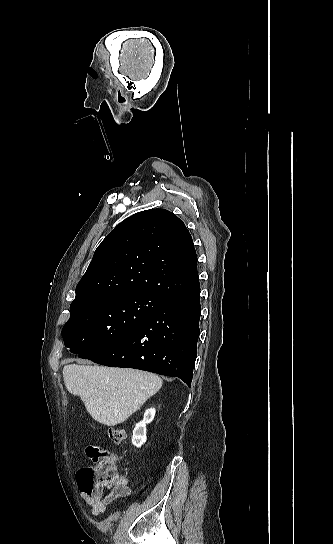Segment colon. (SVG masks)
Returning a JSON list of instances; mask_svg holds the SVG:
<instances>
[{"label": "colon", "mask_w": 333, "mask_h": 544, "mask_svg": "<svg viewBox=\"0 0 333 544\" xmlns=\"http://www.w3.org/2000/svg\"><path fill=\"white\" fill-rule=\"evenodd\" d=\"M108 435L112 442L121 443L126 437V432L119 427H110ZM86 452L94 465L81 468L77 472L79 486L87 491L116 486L120 476L115 457L110 452L95 446H89Z\"/></svg>", "instance_id": "5ec220e1"}]
</instances>
